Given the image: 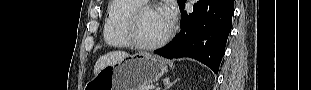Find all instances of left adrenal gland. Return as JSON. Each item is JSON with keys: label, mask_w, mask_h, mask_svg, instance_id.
I'll list each match as a JSON object with an SVG mask.
<instances>
[{"label": "left adrenal gland", "mask_w": 311, "mask_h": 90, "mask_svg": "<svg viewBox=\"0 0 311 90\" xmlns=\"http://www.w3.org/2000/svg\"><path fill=\"white\" fill-rule=\"evenodd\" d=\"M177 81H178V79L175 80V81H173V82H171V81H170V78H165V79L163 80L164 85H165L164 90H169V88H171Z\"/></svg>", "instance_id": "1"}]
</instances>
